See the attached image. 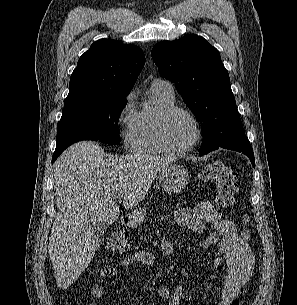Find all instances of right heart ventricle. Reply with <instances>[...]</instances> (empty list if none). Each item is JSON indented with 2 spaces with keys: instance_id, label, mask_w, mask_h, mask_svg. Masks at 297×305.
I'll use <instances>...</instances> for the list:
<instances>
[{
  "instance_id": "right-heart-ventricle-1",
  "label": "right heart ventricle",
  "mask_w": 297,
  "mask_h": 305,
  "mask_svg": "<svg viewBox=\"0 0 297 305\" xmlns=\"http://www.w3.org/2000/svg\"><path fill=\"white\" fill-rule=\"evenodd\" d=\"M151 108L143 109L137 113V126L132 139V150L138 154H161L164 151L157 144L155 139V121L158 113L170 106L175 105L174 96L152 89Z\"/></svg>"
}]
</instances>
